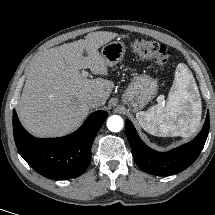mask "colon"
<instances>
[{
	"mask_svg": "<svg viewBox=\"0 0 215 215\" xmlns=\"http://www.w3.org/2000/svg\"><path fill=\"white\" fill-rule=\"evenodd\" d=\"M132 48L140 59L154 60L160 65H165L171 56L170 50L164 45L151 40L136 39L132 43Z\"/></svg>",
	"mask_w": 215,
	"mask_h": 215,
	"instance_id": "colon-1",
	"label": "colon"
}]
</instances>
